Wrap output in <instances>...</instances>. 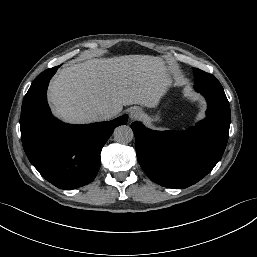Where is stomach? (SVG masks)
<instances>
[{
	"instance_id": "0dacf381",
	"label": "stomach",
	"mask_w": 257,
	"mask_h": 257,
	"mask_svg": "<svg viewBox=\"0 0 257 257\" xmlns=\"http://www.w3.org/2000/svg\"><path fill=\"white\" fill-rule=\"evenodd\" d=\"M153 119H154L155 121H157V120H159V117H158L157 115H155V116L153 117Z\"/></svg>"
}]
</instances>
